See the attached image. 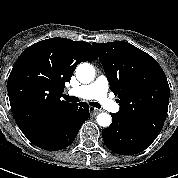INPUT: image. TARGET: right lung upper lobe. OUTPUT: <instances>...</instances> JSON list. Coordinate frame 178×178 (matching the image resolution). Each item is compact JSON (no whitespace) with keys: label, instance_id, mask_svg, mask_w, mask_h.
I'll use <instances>...</instances> for the list:
<instances>
[{"label":"right lung upper lobe","instance_id":"right-lung-upper-lobe-1","mask_svg":"<svg viewBox=\"0 0 178 178\" xmlns=\"http://www.w3.org/2000/svg\"><path fill=\"white\" fill-rule=\"evenodd\" d=\"M96 58L88 42L58 37L24 50L7 84L11 111L21 131L68 112L74 104L61 100L65 82L79 63Z\"/></svg>","mask_w":178,"mask_h":178}]
</instances>
